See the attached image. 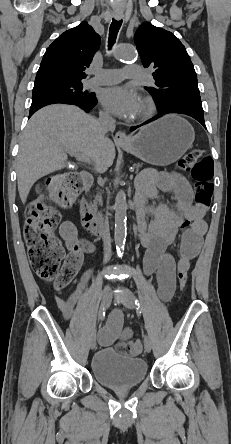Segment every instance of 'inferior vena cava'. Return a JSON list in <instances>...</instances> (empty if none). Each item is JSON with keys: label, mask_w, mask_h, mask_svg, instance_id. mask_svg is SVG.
Wrapping results in <instances>:
<instances>
[{"label": "inferior vena cava", "mask_w": 231, "mask_h": 444, "mask_svg": "<svg viewBox=\"0 0 231 444\" xmlns=\"http://www.w3.org/2000/svg\"><path fill=\"white\" fill-rule=\"evenodd\" d=\"M115 119L109 115L108 113H103L101 112L99 114V119H98V124L100 126V129L103 133H107L109 131H114L115 130ZM98 172H104L105 169L102 167L97 168ZM102 216L100 217L103 221V225L100 227L103 231L101 234L104 237V245H105V251H106V255L109 256L110 251H111V244H110V232H112V227H110V223H111V218H109V215L107 212H103L101 214Z\"/></svg>", "instance_id": "602c4592"}]
</instances>
